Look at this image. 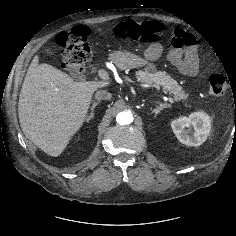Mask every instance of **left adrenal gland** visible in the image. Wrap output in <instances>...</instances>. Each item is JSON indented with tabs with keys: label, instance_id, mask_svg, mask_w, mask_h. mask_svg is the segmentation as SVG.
Masks as SVG:
<instances>
[{
	"label": "left adrenal gland",
	"instance_id": "obj_1",
	"mask_svg": "<svg viewBox=\"0 0 236 236\" xmlns=\"http://www.w3.org/2000/svg\"><path fill=\"white\" fill-rule=\"evenodd\" d=\"M157 104H159V105H158L156 108H154V109L152 110V113L155 114V117H156L157 114H159L163 109L168 108V107H171L170 104H166V103L162 104V103L157 102Z\"/></svg>",
	"mask_w": 236,
	"mask_h": 236
}]
</instances>
